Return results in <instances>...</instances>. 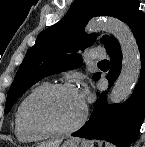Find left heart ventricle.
<instances>
[{
  "instance_id": "b2bd125f",
  "label": "left heart ventricle",
  "mask_w": 145,
  "mask_h": 147,
  "mask_svg": "<svg viewBox=\"0 0 145 147\" xmlns=\"http://www.w3.org/2000/svg\"><path fill=\"white\" fill-rule=\"evenodd\" d=\"M83 109L78 91L64 90L39 99L35 103L34 113L56 127L66 128L80 119Z\"/></svg>"
}]
</instances>
